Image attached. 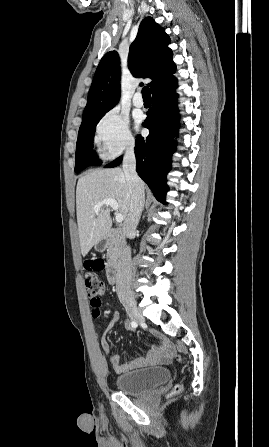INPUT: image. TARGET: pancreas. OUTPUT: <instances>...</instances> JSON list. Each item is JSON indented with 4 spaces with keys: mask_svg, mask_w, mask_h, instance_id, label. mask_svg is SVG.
<instances>
[{
    "mask_svg": "<svg viewBox=\"0 0 269 447\" xmlns=\"http://www.w3.org/2000/svg\"><path fill=\"white\" fill-rule=\"evenodd\" d=\"M120 255V243L117 239H110L109 247L107 249V259L108 263H116Z\"/></svg>",
    "mask_w": 269,
    "mask_h": 447,
    "instance_id": "cf45deb5",
    "label": "pancreas"
}]
</instances>
